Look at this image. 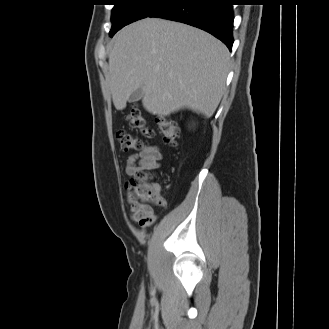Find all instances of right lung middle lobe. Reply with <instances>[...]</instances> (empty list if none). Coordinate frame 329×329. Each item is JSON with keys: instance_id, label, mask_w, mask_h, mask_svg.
<instances>
[{"instance_id": "1", "label": "right lung middle lobe", "mask_w": 329, "mask_h": 329, "mask_svg": "<svg viewBox=\"0 0 329 329\" xmlns=\"http://www.w3.org/2000/svg\"><path fill=\"white\" fill-rule=\"evenodd\" d=\"M112 28L110 36L134 21L149 17L173 0H112Z\"/></svg>"}]
</instances>
